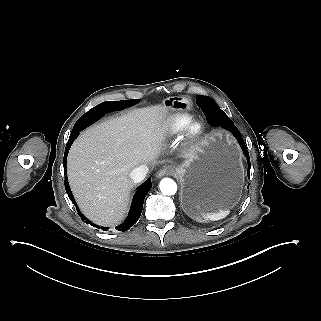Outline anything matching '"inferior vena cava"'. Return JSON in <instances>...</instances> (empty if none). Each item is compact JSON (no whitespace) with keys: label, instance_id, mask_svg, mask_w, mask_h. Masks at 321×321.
<instances>
[{"label":"inferior vena cava","instance_id":"obj_1","mask_svg":"<svg viewBox=\"0 0 321 321\" xmlns=\"http://www.w3.org/2000/svg\"><path fill=\"white\" fill-rule=\"evenodd\" d=\"M148 166L143 164L139 167L134 168L131 172H130V178L135 182V183H139L141 182L145 177L146 174L148 173Z\"/></svg>","mask_w":321,"mask_h":321}]
</instances>
